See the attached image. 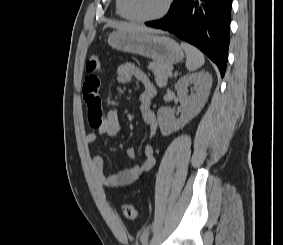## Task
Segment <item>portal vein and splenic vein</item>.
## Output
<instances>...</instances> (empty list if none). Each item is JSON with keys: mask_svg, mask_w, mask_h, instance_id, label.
Segmentation results:
<instances>
[{"mask_svg": "<svg viewBox=\"0 0 283 245\" xmlns=\"http://www.w3.org/2000/svg\"><path fill=\"white\" fill-rule=\"evenodd\" d=\"M169 75H172V71H169Z\"/></svg>", "mask_w": 283, "mask_h": 245, "instance_id": "obj_1", "label": "portal vein and splenic vein"}]
</instances>
